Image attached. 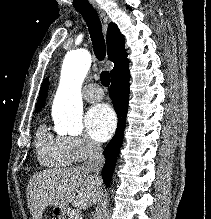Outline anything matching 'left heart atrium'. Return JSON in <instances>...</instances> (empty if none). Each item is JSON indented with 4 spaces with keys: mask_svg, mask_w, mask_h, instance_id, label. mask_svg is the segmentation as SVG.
Returning <instances> with one entry per match:
<instances>
[{
    "mask_svg": "<svg viewBox=\"0 0 211 219\" xmlns=\"http://www.w3.org/2000/svg\"><path fill=\"white\" fill-rule=\"evenodd\" d=\"M88 134L96 141L107 140L116 127V116L112 108L106 104L92 107L85 117Z\"/></svg>",
    "mask_w": 211,
    "mask_h": 219,
    "instance_id": "1",
    "label": "left heart atrium"
}]
</instances>
